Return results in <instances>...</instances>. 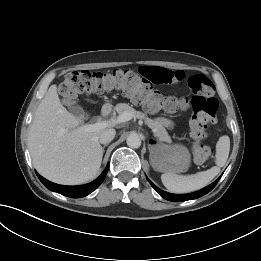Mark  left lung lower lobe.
Returning <instances> with one entry per match:
<instances>
[{
    "instance_id": "obj_1",
    "label": "left lung lower lobe",
    "mask_w": 261,
    "mask_h": 261,
    "mask_svg": "<svg viewBox=\"0 0 261 261\" xmlns=\"http://www.w3.org/2000/svg\"><path fill=\"white\" fill-rule=\"evenodd\" d=\"M220 177L216 181H214L212 184H210L209 186L203 188L202 190H199L197 192L190 193V194H171V193L165 192V191L161 190L160 188H158L157 186H155L148 178H147V180L150 182L152 187L166 200L187 201V200L199 198V197L207 194L208 192H210L215 187V185L219 181Z\"/></svg>"
}]
</instances>
